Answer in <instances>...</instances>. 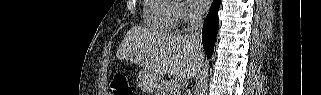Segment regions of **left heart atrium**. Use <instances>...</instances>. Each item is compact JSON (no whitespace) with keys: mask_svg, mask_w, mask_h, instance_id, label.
<instances>
[{"mask_svg":"<svg viewBox=\"0 0 321 95\" xmlns=\"http://www.w3.org/2000/svg\"><path fill=\"white\" fill-rule=\"evenodd\" d=\"M191 2L198 11L207 9L209 5V0H191Z\"/></svg>","mask_w":321,"mask_h":95,"instance_id":"39dd6f15","label":"left heart atrium"}]
</instances>
